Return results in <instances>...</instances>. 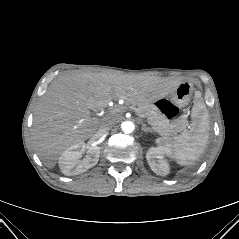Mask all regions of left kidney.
Instances as JSON below:
<instances>
[{"label":"left kidney","instance_id":"1","mask_svg":"<svg viewBox=\"0 0 239 239\" xmlns=\"http://www.w3.org/2000/svg\"><path fill=\"white\" fill-rule=\"evenodd\" d=\"M146 159L152 171L157 175L166 176L169 173V165L163 159V153L158 148L151 147L147 152Z\"/></svg>","mask_w":239,"mask_h":239}]
</instances>
